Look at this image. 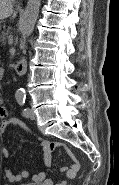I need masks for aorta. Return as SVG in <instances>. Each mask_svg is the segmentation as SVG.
<instances>
[{
  "instance_id": "762f6f07",
  "label": "aorta",
  "mask_w": 119,
  "mask_h": 185,
  "mask_svg": "<svg viewBox=\"0 0 119 185\" xmlns=\"http://www.w3.org/2000/svg\"><path fill=\"white\" fill-rule=\"evenodd\" d=\"M41 0H28L25 13L22 19V34L24 36H30L34 30L36 20L39 15V9ZM25 90L23 88L18 89V94L24 95Z\"/></svg>"
}]
</instances>
